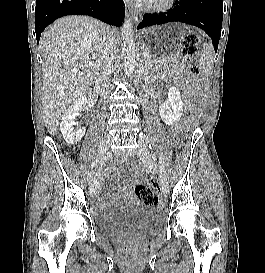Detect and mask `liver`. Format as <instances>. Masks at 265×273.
<instances>
[{
	"label": "liver",
	"instance_id": "liver-1",
	"mask_svg": "<svg viewBox=\"0 0 265 273\" xmlns=\"http://www.w3.org/2000/svg\"><path fill=\"white\" fill-rule=\"evenodd\" d=\"M107 30L104 23L91 17L66 16L43 32L42 111L50 135L57 134L63 114L98 77L101 45Z\"/></svg>",
	"mask_w": 265,
	"mask_h": 273
}]
</instances>
